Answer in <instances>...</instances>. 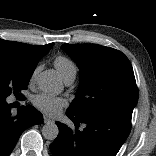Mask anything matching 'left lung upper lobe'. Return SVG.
<instances>
[{"label": "left lung upper lobe", "instance_id": "obj_1", "mask_svg": "<svg viewBox=\"0 0 156 156\" xmlns=\"http://www.w3.org/2000/svg\"><path fill=\"white\" fill-rule=\"evenodd\" d=\"M62 49L80 68V86L68 112L88 116L114 111L132 117L138 91L122 52L97 44H63Z\"/></svg>", "mask_w": 156, "mask_h": 156}]
</instances>
